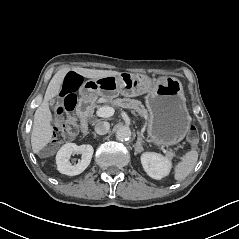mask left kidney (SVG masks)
Segmentation results:
<instances>
[{
	"mask_svg": "<svg viewBox=\"0 0 239 239\" xmlns=\"http://www.w3.org/2000/svg\"><path fill=\"white\" fill-rule=\"evenodd\" d=\"M141 163L145 172L157 180L167 176L172 167L171 160L154 152H144L141 155Z\"/></svg>",
	"mask_w": 239,
	"mask_h": 239,
	"instance_id": "5707ae66",
	"label": "left kidney"
}]
</instances>
